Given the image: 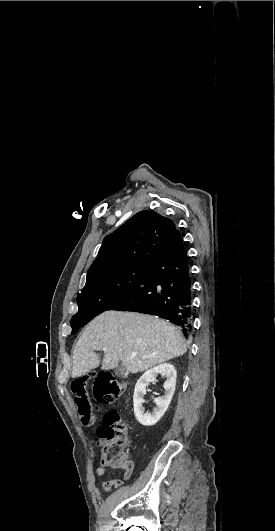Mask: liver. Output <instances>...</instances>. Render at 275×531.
Segmentation results:
<instances>
[{
    "instance_id": "obj_1",
    "label": "liver",
    "mask_w": 275,
    "mask_h": 531,
    "mask_svg": "<svg viewBox=\"0 0 275 531\" xmlns=\"http://www.w3.org/2000/svg\"><path fill=\"white\" fill-rule=\"evenodd\" d=\"M105 351L102 371L116 369L122 361L129 373L147 371L187 353V343L177 327L140 313L105 311L93 319L73 351L72 377H82L99 367L94 351ZM137 353V357H132Z\"/></svg>"
}]
</instances>
